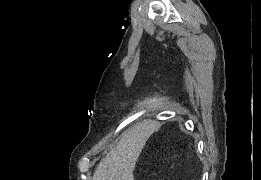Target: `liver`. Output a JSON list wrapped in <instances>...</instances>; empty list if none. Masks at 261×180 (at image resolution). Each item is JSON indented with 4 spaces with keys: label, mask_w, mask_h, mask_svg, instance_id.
I'll list each match as a JSON object with an SVG mask.
<instances>
[{
    "label": "liver",
    "mask_w": 261,
    "mask_h": 180,
    "mask_svg": "<svg viewBox=\"0 0 261 180\" xmlns=\"http://www.w3.org/2000/svg\"><path fill=\"white\" fill-rule=\"evenodd\" d=\"M152 122H140L123 132L117 146L99 162L92 180H134L133 170L147 138L152 132Z\"/></svg>",
    "instance_id": "1"
}]
</instances>
